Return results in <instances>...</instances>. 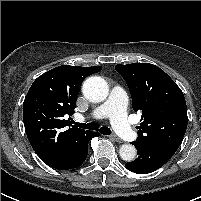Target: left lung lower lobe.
I'll use <instances>...</instances> for the list:
<instances>
[{
  "mask_svg": "<svg viewBox=\"0 0 201 201\" xmlns=\"http://www.w3.org/2000/svg\"><path fill=\"white\" fill-rule=\"evenodd\" d=\"M139 154L138 158L125 164V167L138 174L151 173L162 167L177 151V146H142L133 143Z\"/></svg>",
  "mask_w": 201,
  "mask_h": 201,
  "instance_id": "left-lung-lower-lobe-1",
  "label": "left lung lower lobe"
}]
</instances>
